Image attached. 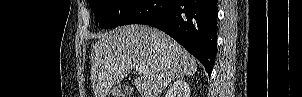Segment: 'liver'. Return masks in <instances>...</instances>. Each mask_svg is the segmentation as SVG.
Returning a JSON list of instances; mask_svg holds the SVG:
<instances>
[{
	"label": "liver",
	"instance_id": "6515ba94",
	"mask_svg": "<svg viewBox=\"0 0 302 97\" xmlns=\"http://www.w3.org/2000/svg\"><path fill=\"white\" fill-rule=\"evenodd\" d=\"M139 65L148 69L134 80L141 97H159L171 81L197 71L195 58L167 34L145 25H125L100 35L92 48L95 97H107Z\"/></svg>",
	"mask_w": 302,
	"mask_h": 97
}]
</instances>
